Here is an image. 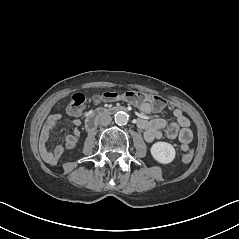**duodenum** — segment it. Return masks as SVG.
<instances>
[{
    "instance_id": "obj_1",
    "label": "duodenum",
    "mask_w": 239,
    "mask_h": 239,
    "mask_svg": "<svg viewBox=\"0 0 239 239\" xmlns=\"http://www.w3.org/2000/svg\"><path fill=\"white\" fill-rule=\"evenodd\" d=\"M121 110H123L122 107H112V108L101 107V108H97L93 110L92 112L88 114L86 118V123H85L86 129L88 131L93 130L96 127L100 118H102L105 115L112 114Z\"/></svg>"
}]
</instances>
